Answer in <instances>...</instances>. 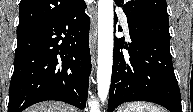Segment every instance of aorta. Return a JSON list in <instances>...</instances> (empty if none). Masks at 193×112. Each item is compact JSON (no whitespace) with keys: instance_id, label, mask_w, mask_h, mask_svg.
Listing matches in <instances>:
<instances>
[{"instance_id":"1","label":"aorta","mask_w":193,"mask_h":112,"mask_svg":"<svg viewBox=\"0 0 193 112\" xmlns=\"http://www.w3.org/2000/svg\"><path fill=\"white\" fill-rule=\"evenodd\" d=\"M113 63V0L98 1V96H108Z\"/></svg>"}]
</instances>
